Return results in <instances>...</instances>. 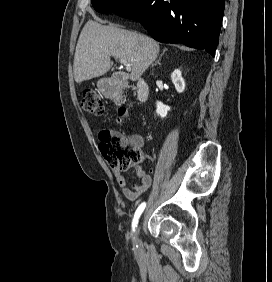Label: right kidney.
<instances>
[{"label": "right kidney", "instance_id": "obj_1", "mask_svg": "<svg viewBox=\"0 0 272 282\" xmlns=\"http://www.w3.org/2000/svg\"><path fill=\"white\" fill-rule=\"evenodd\" d=\"M171 80H172V83L174 84L177 92L182 93L185 89V81H184L182 74H181V71L179 69H176L172 72ZM169 110H170L169 106L164 105L160 101L156 102V113L161 118H165L167 116Z\"/></svg>", "mask_w": 272, "mask_h": 282}]
</instances>
